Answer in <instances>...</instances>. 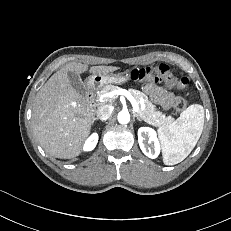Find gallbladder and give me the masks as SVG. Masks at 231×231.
Instances as JSON below:
<instances>
[{
    "label": "gallbladder",
    "mask_w": 231,
    "mask_h": 231,
    "mask_svg": "<svg viewBox=\"0 0 231 231\" xmlns=\"http://www.w3.org/2000/svg\"><path fill=\"white\" fill-rule=\"evenodd\" d=\"M68 79L72 85V87L81 95H84L86 92V88L81 80V77L78 74L73 72H68Z\"/></svg>",
    "instance_id": "gallbladder-1"
}]
</instances>
